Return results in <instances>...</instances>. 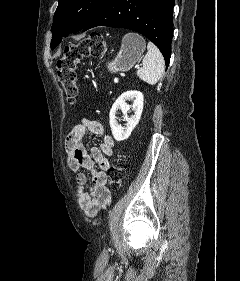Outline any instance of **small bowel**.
I'll list each match as a JSON object with an SVG mask.
<instances>
[{
  "label": "small bowel",
  "mask_w": 240,
  "mask_h": 281,
  "mask_svg": "<svg viewBox=\"0 0 240 281\" xmlns=\"http://www.w3.org/2000/svg\"><path fill=\"white\" fill-rule=\"evenodd\" d=\"M92 133L102 139L99 147L87 151L84 139ZM68 167L76 173L78 202L88 217H95L106 209L112 200L106 187L107 171L110 163L107 157L113 155L114 140L107 134L106 128L100 122L84 118L75 125L65 141ZM88 170L91 185L82 170Z\"/></svg>",
  "instance_id": "obj_1"
}]
</instances>
